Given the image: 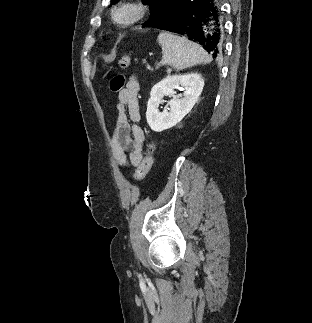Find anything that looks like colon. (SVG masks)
I'll list each match as a JSON object with an SVG mask.
<instances>
[{
	"label": "colon",
	"instance_id": "colon-1",
	"mask_svg": "<svg viewBox=\"0 0 312 323\" xmlns=\"http://www.w3.org/2000/svg\"><path fill=\"white\" fill-rule=\"evenodd\" d=\"M118 65L122 69H127L130 65L129 56L127 54H122L119 57ZM124 85H125V78L121 73L115 74L109 81V88L112 93L120 92L124 88ZM153 154H154V147L153 145L150 144L148 146V149L146 151L144 158L142 159L141 164L138 166L136 170V173H135L136 180H143L147 176L149 170L153 165V161H154Z\"/></svg>",
	"mask_w": 312,
	"mask_h": 323
}]
</instances>
